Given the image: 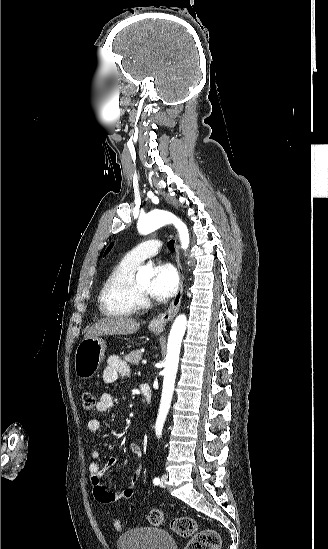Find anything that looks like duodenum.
I'll return each instance as SVG.
<instances>
[{
	"mask_svg": "<svg viewBox=\"0 0 328 549\" xmlns=\"http://www.w3.org/2000/svg\"><path fill=\"white\" fill-rule=\"evenodd\" d=\"M139 389L146 402L150 403L152 400V391L150 386L148 384H141Z\"/></svg>",
	"mask_w": 328,
	"mask_h": 549,
	"instance_id": "duodenum-1",
	"label": "duodenum"
}]
</instances>
